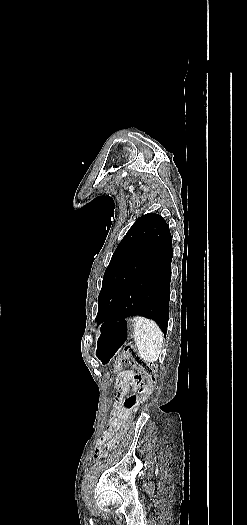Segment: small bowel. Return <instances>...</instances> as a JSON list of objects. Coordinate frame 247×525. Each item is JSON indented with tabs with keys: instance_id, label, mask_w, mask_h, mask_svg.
Returning <instances> with one entry per match:
<instances>
[{
	"instance_id": "obj_1",
	"label": "small bowel",
	"mask_w": 247,
	"mask_h": 525,
	"mask_svg": "<svg viewBox=\"0 0 247 525\" xmlns=\"http://www.w3.org/2000/svg\"><path fill=\"white\" fill-rule=\"evenodd\" d=\"M134 370H124L118 375L115 387L117 390V397L114 402L112 416L108 422L107 430L103 433L102 437L98 441L94 451V458L96 460L107 455L108 451L105 450V442L112 436V434L119 428L121 422L127 417V412L122 405L123 395L127 392L128 386L133 378L136 376Z\"/></svg>"
}]
</instances>
